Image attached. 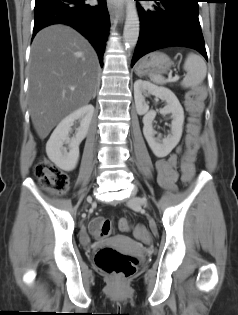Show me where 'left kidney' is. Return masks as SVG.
Returning <instances> with one entry per match:
<instances>
[{"mask_svg": "<svg viewBox=\"0 0 238 315\" xmlns=\"http://www.w3.org/2000/svg\"><path fill=\"white\" fill-rule=\"evenodd\" d=\"M151 94L165 101L167 105L160 110L162 114H171V133L164 139L155 138L153 129V120L156 112L149 110V106L145 101V96ZM134 99L136 111L143 117V134L150 146L151 150L157 157L167 156L179 143L184 123V111L177 99L176 95L165 87H158L149 81L138 79L134 83Z\"/></svg>", "mask_w": 238, "mask_h": 315, "instance_id": "1", "label": "left kidney"}]
</instances>
